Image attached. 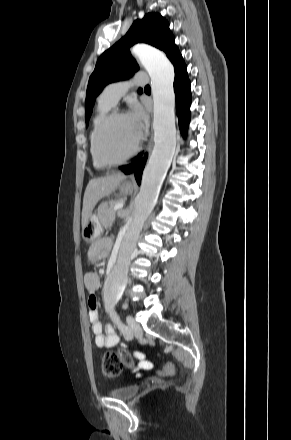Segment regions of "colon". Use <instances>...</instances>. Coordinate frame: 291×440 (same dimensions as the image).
Returning <instances> with one entry per match:
<instances>
[{"mask_svg":"<svg viewBox=\"0 0 291 440\" xmlns=\"http://www.w3.org/2000/svg\"><path fill=\"white\" fill-rule=\"evenodd\" d=\"M133 367L134 361L126 350H120L119 352H108L104 355L101 371L103 376L107 378L116 377L120 374L123 366ZM174 363L169 361L163 367L162 372L164 374H172L174 372Z\"/></svg>","mask_w":291,"mask_h":440,"instance_id":"1","label":"colon"}]
</instances>
